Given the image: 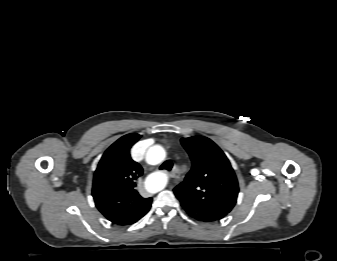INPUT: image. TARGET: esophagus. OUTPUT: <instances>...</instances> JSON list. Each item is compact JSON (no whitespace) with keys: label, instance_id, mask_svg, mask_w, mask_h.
<instances>
[{"label":"esophagus","instance_id":"esophagus-1","mask_svg":"<svg viewBox=\"0 0 337 261\" xmlns=\"http://www.w3.org/2000/svg\"><path fill=\"white\" fill-rule=\"evenodd\" d=\"M171 176H172V178H173L174 180H176V179L178 178V176H177V169H176V168L173 169V171H172V173H171Z\"/></svg>","mask_w":337,"mask_h":261}]
</instances>
